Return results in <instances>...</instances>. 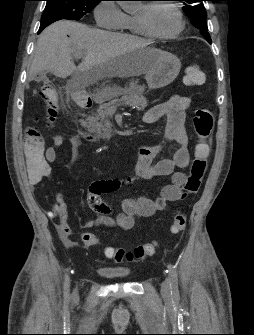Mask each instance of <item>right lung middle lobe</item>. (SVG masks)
Returning a JSON list of instances; mask_svg holds the SVG:
<instances>
[{"label": "right lung middle lobe", "instance_id": "dd1d6c3e", "mask_svg": "<svg viewBox=\"0 0 254 335\" xmlns=\"http://www.w3.org/2000/svg\"><path fill=\"white\" fill-rule=\"evenodd\" d=\"M41 23L61 19L79 20L101 0H46Z\"/></svg>", "mask_w": 254, "mask_h": 335}]
</instances>
